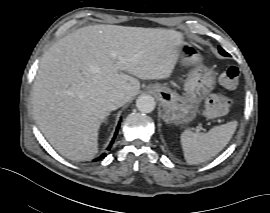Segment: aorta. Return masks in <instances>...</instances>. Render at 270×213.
Listing matches in <instances>:
<instances>
[{
	"label": "aorta",
	"instance_id": "aorta-1",
	"mask_svg": "<svg viewBox=\"0 0 270 213\" xmlns=\"http://www.w3.org/2000/svg\"><path fill=\"white\" fill-rule=\"evenodd\" d=\"M156 102L151 95H141L136 100V107L140 112L150 113L154 110Z\"/></svg>",
	"mask_w": 270,
	"mask_h": 213
}]
</instances>
